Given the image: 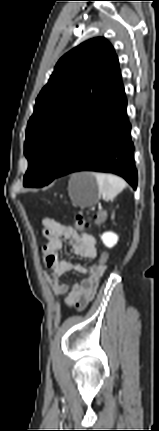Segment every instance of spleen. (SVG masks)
<instances>
[{
    "mask_svg": "<svg viewBox=\"0 0 159 431\" xmlns=\"http://www.w3.org/2000/svg\"><path fill=\"white\" fill-rule=\"evenodd\" d=\"M98 183L99 193L106 200H113L122 190L126 188V182L115 175L104 173H92Z\"/></svg>",
    "mask_w": 159,
    "mask_h": 431,
    "instance_id": "3e777b00",
    "label": "spleen"
}]
</instances>
